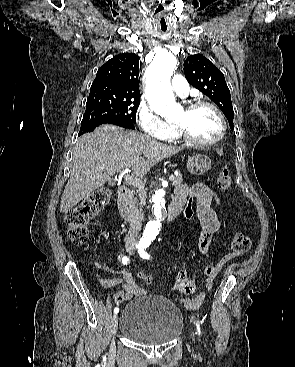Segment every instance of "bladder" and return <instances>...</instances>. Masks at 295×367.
I'll return each instance as SVG.
<instances>
[{"label":"bladder","mask_w":295,"mask_h":367,"mask_svg":"<svg viewBox=\"0 0 295 367\" xmlns=\"http://www.w3.org/2000/svg\"><path fill=\"white\" fill-rule=\"evenodd\" d=\"M126 338L146 346L161 345L176 339L183 329L180 309L159 295H143L123 308L119 323Z\"/></svg>","instance_id":"1"}]
</instances>
